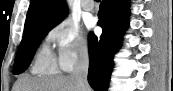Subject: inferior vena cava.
<instances>
[{"instance_id": "602c4592", "label": "inferior vena cava", "mask_w": 173, "mask_h": 91, "mask_svg": "<svg viewBox=\"0 0 173 91\" xmlns=\"http://www.w3.org/2000/svg\"><path fill=\"white\" fill-rule=\"evenodd\" d=\"M89 68L88 49L84 48L79 53L78 59L75 63L72 77L76 80L79 91H87L89 84L87 81V74Z\"/></svg>"}]
</instances>
